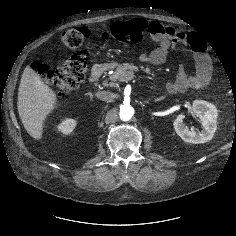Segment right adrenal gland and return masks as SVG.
Instances as JSON below:
<instances>
[{"instance_id":"2a0ac1e0","label":"right adrenal gland","mask_w":236,"mask_h":236,"mask_svg":"<svg viewBox=\"0 0 236 236\" xmlns=\"http://www.w3.org/2000/svg\"><path fill=\"white\" fill-rule=\"evenodd\" d=\"M90 95V98H91V100H92V95L91 94H89Z\"/></svg>"}]
</instances>
